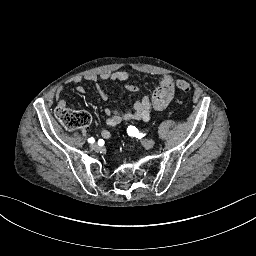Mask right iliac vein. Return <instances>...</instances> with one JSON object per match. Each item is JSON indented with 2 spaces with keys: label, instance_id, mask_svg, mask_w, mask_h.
Returning <instances> with one entry per match:
<instances>
[{
  "label": "right iliac vein",
  "instance_id": "obj_1",
  "mask_svg": "<svg viewBox=\"0 0 256 256\" xmlns=\"http://www.w3.org/2000/svg\"><path fill=\"white\" fill-rule=\"evenodd\" d=\"M91 148H92V150H94L96 152L101 150V147H100V145L98 143L91 144Z\"/></svg>",
  "mask_w": 256,
  "mask_h": 256
}]
</instances>
